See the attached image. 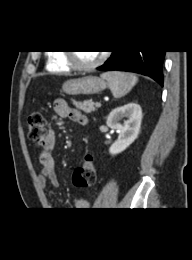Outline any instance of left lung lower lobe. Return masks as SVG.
Masks as SVG:
<instances>
[{
	"label": "left lung lower lobe",
	"instance_id": "1",
	"mask_svg": "<svg viewBox=\"0 0 192 260\" xmlns=\"http://www.w3.org/2000/svg\"><path fill=\"white\" fill-rule=\"evenodd\" d=\"M166 51H116L98 70L136 72L151 77L163 85L162 64Z\"/></svg>",
	"mask_w": 192,
	"mask_h": 260
}]
</instances>
